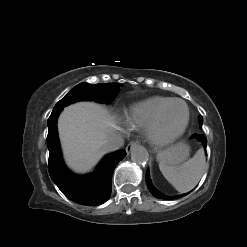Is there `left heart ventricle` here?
Masks as SVG:
<instances>
[{
  "instance_id": "obj_1",
  "label": "left heart ventricle",
  "mask_w": 247,
  "mask_h": 247,
  "mask_svg": "<svg viewBox=\"0 0 247 247\" xmlns=\"http://www.w3.org/2000/svg\"><path fill=\"white\" fill-rule=\"evenodd\" d=\"M186 117V109L182 103L172 104L164 113L161 120V130L165 133H172L178 130Z\"/></svg>"
}]
</instances>
